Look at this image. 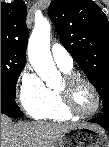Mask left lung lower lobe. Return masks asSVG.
I'll return each mask as SVG.
<instances>
[{
	"mask_svg": "<svg viewBox=\"0 0 109 147\" xmlns=\"http://www.w3.org/2000/svg\"><path fill=\"white\" fill-rule=\"evenodd\" d=\"M89 122L97 123L109 132V110L103 111L101 115L89 120Z\"/></svg>",
	"mask_w": 109,
	"mask_h": 147,
	"instance_id": "1",
	"label": "left lung lower lobe"
}]
</instances>
